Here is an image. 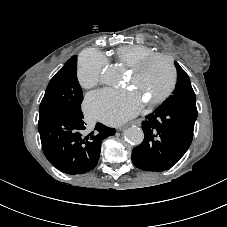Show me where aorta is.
<instances>
[{"label":"aorta","mask_w":227,"mask_h":227,"mask_svg":"<svg viewBox=\"0 0 227 227\" xmlns=\"http://www.w3.org/2000/svg\"><path fill=\"white\" fill-rule=\"evenodd\" d=\"M101 79L106 84H115L120 80V73L115 67L105 68L101 73ZM125 139L134 145H139L144 139V133L141 128L131 126L124 131Z\"/></svg>","instance_id":"762f6f07"}]
</instances>
